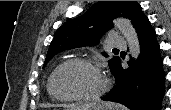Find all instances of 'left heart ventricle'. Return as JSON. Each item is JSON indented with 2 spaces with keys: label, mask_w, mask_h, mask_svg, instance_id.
<instances>
[{
  "label": "left heart ventricle",
  "mask_w": 171,
  "mask_h": 110,
  "mask_svg": "<svg viewBox=\"0 0 171 110\" xmlns=\"http://www.w3.org/2000/svg\"><path fill=\"white\" fill-rule=\"evenodd\" d=\"M102 86V77L90 67L70 64L62 68L56 76V90L67 96L92 95Z\"/></svg>",
  "instance_id": "obj_1"
}]
</instances>
